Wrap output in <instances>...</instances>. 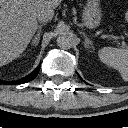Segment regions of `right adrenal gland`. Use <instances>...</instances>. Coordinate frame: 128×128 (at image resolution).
<instances>
[{"instance_id": "right-adrenal-gland-1", "label": "right adrenal gland", "mask_w": 128, "mask_h": 128, "mask_svg": "<svg viewBox=\"0 0 128 128\" xmlns=\"http://www.w3.org/2000/svg\"><path fill=\"white\" fill-rule=\"evenodd\" d=\"M45 25H46V24H41V25H39L38 31H37L36 35L34 36V38H33V40H32V43H31L32 45H35V46L38 45L39 40H40V35H41L42 27L45 26Z\"/></svg>"}]
</instances>
